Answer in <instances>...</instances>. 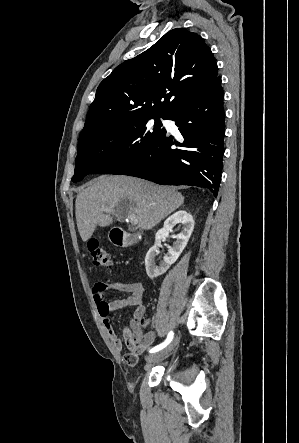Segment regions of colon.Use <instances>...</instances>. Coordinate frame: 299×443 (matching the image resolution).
I'll return each instance as SVG.
<instances>
[{"label":"colon","instance_id":"colon-1","mask_svg":"<svg viewBox=\"0 0 299 443\" xmlns=\"http://www.w3.org/2000/svg\"><path fill=\"white\" fill-rule=\"evenodd\" d=\"M87 249L95 265L104 268H109L111 266L112 261L108 252L101 246V244L96 239H90L88 241ZM133 322L139 323L141 325L145 323L143 318L137 313L134 314Z\"/></svg>","mask_w":299,"mask_h":443}]
</instances>
